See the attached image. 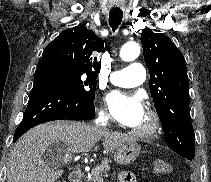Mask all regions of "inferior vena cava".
Listing matches in <instances>:
<instances>
[{
  "mask_svg": "<svg viewBox=\"0 0 211 182\" xmlns=\"http://www.w3.org/2000/svg\"><path fill=\"white\" fill-rule=\"evenodd\" d=\"M108 117L104 114H99L98 119H96L95 126L98 127L99 131H106V126H103L102 122L107 123Z\"/></svg>",
  "mask_w": 211,
  "mask_h": 182,
  "instance_id": "1",
  "label": "inferior vena cava"
}]
</instances>
